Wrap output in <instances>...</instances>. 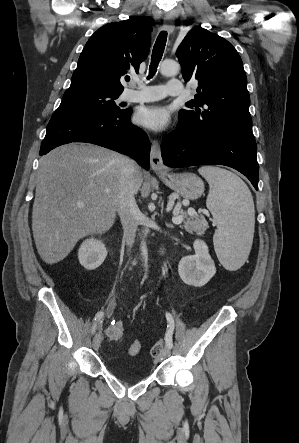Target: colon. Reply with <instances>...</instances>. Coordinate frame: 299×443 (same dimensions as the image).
Masks as SVG:
<instances>
[{"instance_id": "colon-1", "label": "colon", "mask_w": 299, "mask_h": 443, "mask_svg": "<svg viewBox=\"0 0 299 443\" xmlns=\"http://www.w3.org/2000/svg\"><path fill=\"white\" fill-rule=\"evenodd\" d=\"M125 332L124 323L121 320L112 321L111 325L108 327L106 334L111 340H120L123 338ZM141 342L136 339L132 341L128 348L127 352L131 356L137 355L141 351ZM164 342L162 340L156 342L151 349V357L155 362H158L163 354Z\"/></svg>"}]
</instances>
